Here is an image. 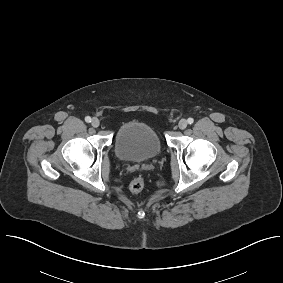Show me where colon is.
<instances>
[{"mask_svg": "<svg viewBox=\"0 0 283 283\" xmlns=\"http://www.w3.org/2000/svg\"><path fill=\"white\" fill-rule=\"evenodd\" d=\"M145 187V180L143 177L141 176H137L135 177L131 182H130V185H129V188L130 190L133 192V193H139L141 192Z\"/></svg>", "mask_w": 283, "mask_h": 283, "instance_id": "1", "label": "colon"}]
</instances>
